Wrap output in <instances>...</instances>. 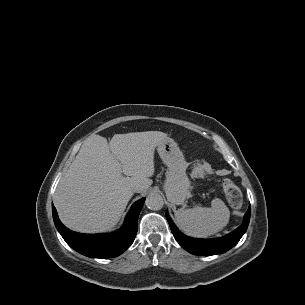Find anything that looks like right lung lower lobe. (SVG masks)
Wrapping results in <instances>:
<instances>
[{"instance_id":"1","label":"right lung lower lobe","mask_w":305,"mask_h":305,"mask_svg":"<svg viewBox=\"0 0 305 305\" xmlns=\"http://www.w3.org/2000/svg\"><path fill=\"white\" fill-rule=\"evenodd\" d=\"M144 201L145 198L136 201L127 214L123 227L109 234L73 232L61 223L54 205H52V213L57 230L71 248L92 258H112L122 254L133 243L138 229V216Z\"/></svg>"}]
</instances>
